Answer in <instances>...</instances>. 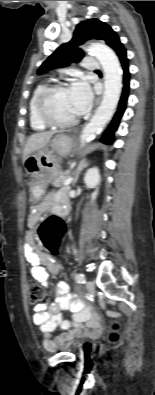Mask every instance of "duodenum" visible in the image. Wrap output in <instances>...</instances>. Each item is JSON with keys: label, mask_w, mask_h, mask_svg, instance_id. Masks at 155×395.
I'll return each instance as SVG.
<instances>
[{"label": "duodenum", "mask_w": 155, "mask_h": 395, "mask_svg": "<svg viewBox=\"0 0 155 395\" xmlns=\"http://www.w3.org/2000/svg\"><path fill=\"white\" fill-rule=\"evenodd\" d=\"M67 213V209H62L61 214L60 215H66Z\"/></svg>", "instance_id": "duodenum-1"}]
</instances>
